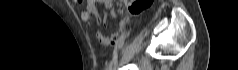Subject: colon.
<instances>
[{
    "label": "colon",
    "instance_id": "1",
    "mask_svg": "<svg viewBox=\"0 0 238 70\" xmlns=\"http://www.w3.org/2000/svg\"><path fill=\"white\" fill-rule=\"evenodd\" d=\"M75 2H81V0H75ZM151 0H135V1H129L128 6L129 10L133 14H139L142 12L145 8H147L150 5Z\"/></svg>",
    "mask_w": 238,
    "mask_h": 70
}]
</instances>
